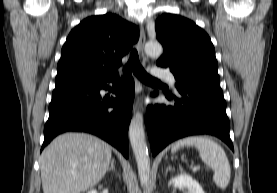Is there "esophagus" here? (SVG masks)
<instances>
[{"label": "esophagus", "mask_w": 277, "mask_h": 193, "mask_svg": "<svg viewBox=\"0 0 277 193\" xmlns=\"http://www.w3.org/2000/svg\"><path fill=\"white\" fill-rule=\"evenodd\" d=\"M146 41L145 31L142 26H140V38H139V45L138 49L140 52V55L144 58V45ZM134 111L142 109L143 108V102H142V96L138 95L135 102H134Z\"/></svg>", "instance_id": "obj_1"}]
</instances>
